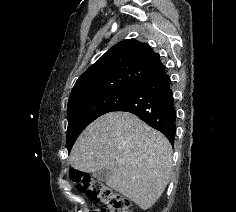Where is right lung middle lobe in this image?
Here are the masks:
<instances>
[{
    "label": "right lung middle lobe",
    "mask_w": 236,
    "mask_h": 212,
    "mask_svg": "<svg viewBox=\"0 0 236 212\" xmlns=\"http://www.w3.org/2000/svg\"><path fill=\"white\" fill-rule=\"evenodd\" d=\"M133 87L101 92L68 103L67 149L70 152L79 134L93 120L114 111L132 93Z\"/></svg>",
    "instance_id": "dd1d6c3e"
}]
</instances>
